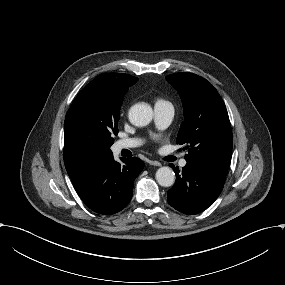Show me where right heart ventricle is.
<instances>
[{
  "instance_id": "right-heart-ventricle-1",
  "label": "right heart ventricle",
  "mask_w": 285,
  "mask_h": 285,
  "mask_svg": "<svg viewBox=\"0 0 285 285\" xmlns=\"http://www.w3.org/2000/svg\"><path fill=\"white\" fill-rule=\"evenodd\" d=\"M164 102H167V100L164 99L163 97H161V96H156L155 97V103L156 104H160V103H164Z\"/></svg>"
}]
</instances>
